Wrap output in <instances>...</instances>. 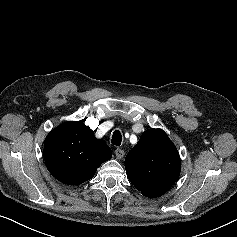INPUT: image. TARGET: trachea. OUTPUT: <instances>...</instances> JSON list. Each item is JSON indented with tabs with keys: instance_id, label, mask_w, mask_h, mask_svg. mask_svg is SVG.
I'll list each match as a JSON object with an SVG mask.
<instances>
[{
	"instance_id": "1",
	"label": "trachea",
	"mask_w": 237,
	"mask_h": 237,
	"mask_svg": "<svg viewBox=\"0 0 237 237\" xmlns=\"http://www.w3.org/2000/svg\"><path fill=\"white\" fill-rule=\"evenodd\" d=\"M121 141H122V135H121L120 131L115 130L112 135V140H111L112 144L115 146H120Z\"/></svg>"
}]
</instances>
